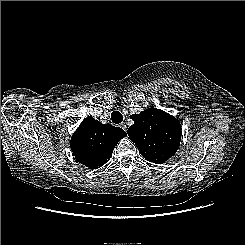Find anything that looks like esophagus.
I'll return each mask as SVG.
<instances>
[{"label": "esophagus", "instance_id": "obj_1", "mask_svg": "<svg viewBox=\"0 0 245 245\" xmlns=\"http://www.w3.org/2000/svg\"><path fill=\"white\" fill-rule=\"evenodd\" d=\"M120 127L124 130V131H127V126L125 123H121L120 124Z\"/></svg>", "mask_w": 245, "mask_h": 245}]
</instances>
